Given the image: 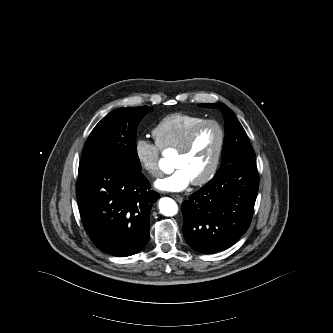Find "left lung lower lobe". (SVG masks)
Masks as SVG:
<instances>
[{"mask_svg": "<svg viewBox=\"0 0 333 333\" xmlns=\"http://www.w3.org/2000/svg\"><path fill=\"white\" fill-rule=\"evenodd\" d=\"M253 159L235 161L182 204L183 235L201 253H216L233 245L248 229L258 193Z\"/></svg>", "mask_w": 333, "mask_h": 333, "instance_id": "1", "label": "left lung lower lobe"}]
</instances>
